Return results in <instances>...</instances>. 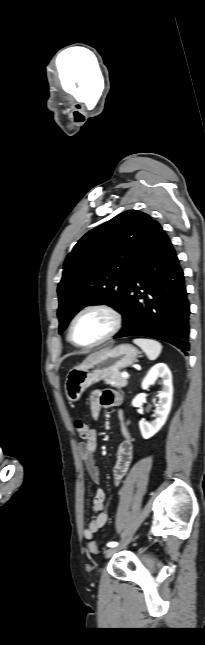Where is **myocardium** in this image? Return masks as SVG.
<instances>
[{
  "instance_id": "obj_1",
  "label": "myocardium",
  "mask_w": 205,
  "mask_h": 645,
  "mask_svg": "<svg viewBox=\"0 0 205 645\" xmlns=\"http://www.w3.org/2000/svg\"><path fill=\"white\" fill-rule=\"evenodd\" d=\"M91 311L101 312V313H104L106 316H108V318L110 320V328H109V330L106 332V334L104 336H102L100 339H98V340H96L94 342H91V343L77 342L75 340L74 336H73L74 325H75L76 321L79 319L80 316H82L83 314H85L87 312H91ZM121 326H122V315L120 314V312L116 308L112 307L111 305L105 304V303H92V304H88V305L82 307L73 316V318L70 321L69 328H68V337H69L70 341L74 345H76L78 347H81V348H93V347L99 346V345L105 343L106 341L110 340L113 336H115L118 333V331L120 330Z\"/></svg>"
}]
</instances>
